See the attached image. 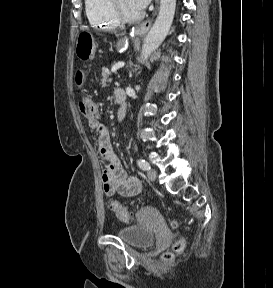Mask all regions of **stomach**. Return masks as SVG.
<instances>
[{"mask_svg": "<svg viewBox=\"0 0 273 288\" xmlns=\"http://www.w3.org/2000/svg\"><path fill=\"white\" fill-rule=\"evenodd\" d=\"M95 39L88 33H81L77 39L75 53L80 60H89L95 52ZM117 50L123 51L127 48V39L122 38L116 45Z\"/></svg>", "mask_w": 273, "mask_h": 288, "instance_id": "0dacf381", "label": "stomach"}]
</instances>
